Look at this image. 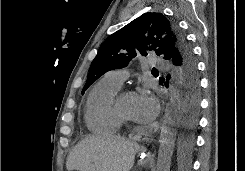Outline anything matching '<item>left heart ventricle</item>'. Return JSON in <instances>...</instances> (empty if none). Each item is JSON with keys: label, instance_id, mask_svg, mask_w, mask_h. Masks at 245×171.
<instances>
[{"label": "left heart ventricle", "instance_id": "b2bd125f", "mask_svg": "<svg viewBox=\"0 0 245 171\" xmlns=\"http://www.w3.org/2000/svg\"><path fill=\"white\" fill-rule=\"evenodd\" d=\"M136 95H124L118 101L120 111L127 117L132 118L134 99Z\"/></svg>", "mask_w": 245, "mask_h": 171}]
</instances>
